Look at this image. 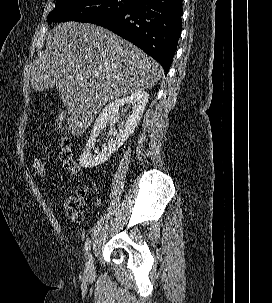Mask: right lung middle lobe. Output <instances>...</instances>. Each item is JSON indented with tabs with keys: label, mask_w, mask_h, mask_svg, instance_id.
<instances>
[{
	"label": "right lung middle lobe",
	"mask_w": 272,
	"mask_h": 303,
	"mask_svg": "<svg viewBox=\"0 0 272 303\" xmlns=\"http://www.w3.org/2000/svg\"><path fill=\"white\" fill-rule=\"evenodd\" d=\"M136 0H57L55 9L48 15L52 22L77 21L92 23L96 20L123 12Z\"/></svg>",
	"instance_id": "dd1d6c3e"
}]
</instances>
